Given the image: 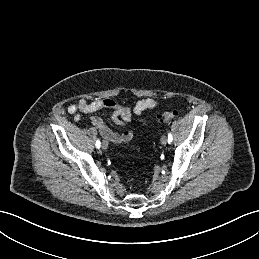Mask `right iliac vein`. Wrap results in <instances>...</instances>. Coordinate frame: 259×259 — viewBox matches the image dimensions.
I'll use <instances>...</instances> for the list:
<instances>
[{"label": "right iliac vein", "instance_id": "obj_1", "mask_svg": "<svg viewBox=\"0 0 259 259\" xmlns=\"http://www.w3.org/2000/svg\"><path fill=\"white\" fill-rule=\"evenodd\" d=\"M102 148H103V149H107V148H108V142H107V141L103 140V142H102Z\"/></svg>", "mask_w": 259, "mask_h": 259}]
</instances>
